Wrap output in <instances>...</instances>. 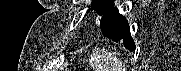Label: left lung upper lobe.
Returning <instances> with one entry per match:
<instances>
[{
  "instance_id": "5c2ea615",
  "label": "left lung upper lobe",
  "mask_w": 181,
  "mask_h": 71,
  "mask_svg": "<svg viewBox=\"0 0 181 71\" xmlns=\"http://www.w3.org/2000/svg\"><path fill=\"white\" fill-rule=\"evenodd\" d=\"M113 1L114 0H92L91 8L103 16L114 7Z\"/></svg>"
}]
</instances>
